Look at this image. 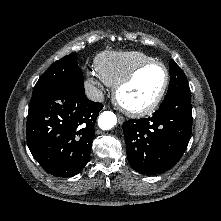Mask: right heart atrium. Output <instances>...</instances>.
Listing matches in <instances>:
<instances>
[{
	"mask_svg": "<svg viewBox=\"0 0 221 221\" xmlns=\"http://www.w3.org/2000/svg\"><path fill=\"white\" fill-rule=\"evenodd\" d=\"M98 75H93L90 74L86 77L85 80V89L87 91V93L89 94V96L91 97H95L98 95L99 90H100V82L98 79Z\"/></svg>",
	"mask_w": 221,
	"mask_h": 221,
	"instance_id": "1",
	"label": "right heart atrium"
}]
</instances>
